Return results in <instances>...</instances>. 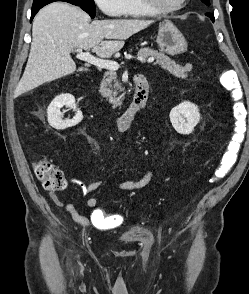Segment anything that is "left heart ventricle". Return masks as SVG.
<instances>
[{
	"instance_id": "left-heart-ventricle-1",
	"label": "left heart ventricle",
	"mask_w": 249,
	"mask_h": 294,
	"mask_svg": "<svg viewBox=\"0 0 249 294\" xmlns=\"http://www.w3.org/2000/svg\"><path fill=\"white\" fill-rule=\"evenodd\" d=\"M157 5L162 8L173 7L178 5L182 0H155Z\"/></svg>"
}]
</instances>
